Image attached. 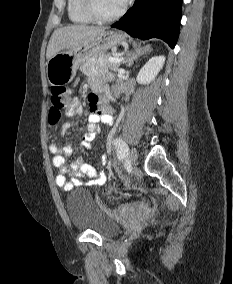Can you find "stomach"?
<instances>
[{"label":"stomach","mask_w":233,"mask_h":284,"mask_svg":"<svg viewBox=\"0 0 233 284\" xmlns=\"http://www.w3.org/2000/svg\"><path fill=\"white\" fill-rule=\"evenodd\" d=\"M125 39L123 33L107 30L89 43L57 53L47 62L46 73L50 85H67L75 78L78 68L86 61L121 44Z\"/></svg>","instance_id":"1"}]
</instances>
